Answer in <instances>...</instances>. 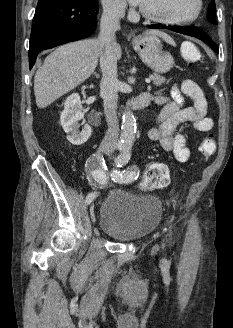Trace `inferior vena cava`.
<instances>
[{"instance_id":"obj_1","label":"inferior vena cava","mask_w":233,"mask_h":328,"mask_svg":"<svg viewBox=\"0 0 233 328\" xmlns=\"http://www.w3.org/2000/svg\"><path fill=\"white\" fill-rule=\"evenodd\" d=\"M125 15V4L118 0L103 3V13L100 22L99 42L102 45L100 67L102 79L100 93L104 100V113L108 129L101 142L100 149L112 153L117 146L119 125L117 119L118 78L117 57L113 52L115 32L120 29V19Z\"/></svg>"}]
</instances>
